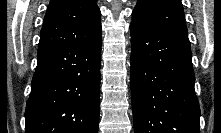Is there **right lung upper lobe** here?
Returning a JSON list of instances; mask_svg holds the SVG:
<instances>
[{
  "mask_svg": "<svg viewBox=\"0 0 221 133\" xmlns=\"http://www.w3.org/2000/svg\"><path fill=\"white\" fill-rule=\"evenodd\" d=\"M100 30V10L96 0H51L38 51L80 45Z\"/></svg>",
  "mask_w": 221,
  "mask_h": 133,
  "instance_id": "cb5924a9",
  "label": "right lung upper lobe"
}]
</instances>
